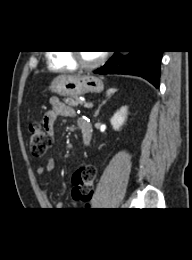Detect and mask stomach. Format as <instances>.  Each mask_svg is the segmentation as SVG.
Returning a JSON list of instances; mask_svg holds the SVG:
<instances>
[{"instance_id":"obj_1","label":"stomach","mask_w":192,"mask_h":260,"mask_svg":"<svg viewBox=\"0 0 192 260\" xmlns=\"http://www.w3.org/2000/svg\"><path fill=\"white\" fill-rule=\"evenodd\" d=\"M103 88L102 80L89 74L78 76L61 75L53 79L50 85L52 92L72 98H77L86 93H100Z\"/></svg>"}]
</instances>
